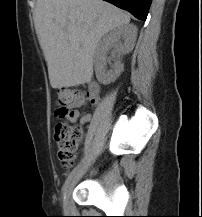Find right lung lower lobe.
Wrapping results in <instances>:
<instances>
[{
	"label": "right lung lower lobe",
	"mask_w": 202,
	"mask_h": 217,
	"mask_svg": "<svg viewBox=\"0 0 202 217\" xmlns=\"http://www.w3.org/2000/svg\"><path fill=\"white\" fill-rule=\"evenodd\" d=\"M121 9L129 11L137 19L145 21L152 0H105Z\"/></svg>",
	"instance_id": "obj_1"
}]
</instances>
